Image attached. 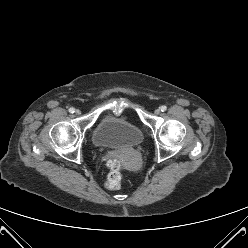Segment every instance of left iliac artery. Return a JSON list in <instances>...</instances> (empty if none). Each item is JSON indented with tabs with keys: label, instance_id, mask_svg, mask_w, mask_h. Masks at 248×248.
<instances>
[{
	"label": "left iliac artery",
	"instance_id": "1",
	"mask_svg": "<svg viewBox=\"0 0 248 248\" xmlns=\"http://www.w3.org/2000/svg\"><path fill=\"white\" fill-rule=\"evenodd\" d=\"M160 110H161L162 112H164V111L167 110V107H166L165 105H162V106L160 107Z\"/></svg>",
	"mask_w": 248,
	"mask_h": 248
}]
</instances>
